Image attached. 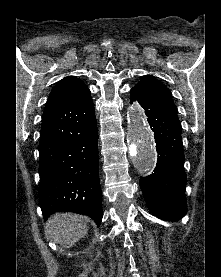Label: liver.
<instances>
[{"label": "liver", "instance_id": "liver-1", "mask_svg": "<svg viewBox=\"0 0 221 277\" xmlns=\"http://www.w3.org/2000/svg\"><path fill=\"white\" fill-rule=\"evenodd\" d=\"M47 235L65 248H71L88 232V220L85 216L72 213H56L49 217L46 226Z\"/></svg>", "mask_w": 221, "mask_h": 277}]
</instances>
